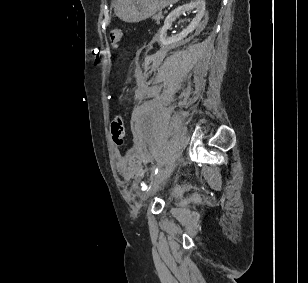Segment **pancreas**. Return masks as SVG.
<instances>
[{
	"label": "pancreas",
	"instance_id": "cf45deb5",
	"mask_svg": "<svg viewBox=\"0 0 308 283\" xmlns=\"http://www.w3.org/2000/svg\"><path fill=\"white\" fill-rule=\"evenodd\" d=\"M162 18H163V16H162V13H160V12L152 17V19H154L157 24H159V21Z\"/></svg>",
	"mask_w": 308,
	"mask_h": 283
}]
</instances>
